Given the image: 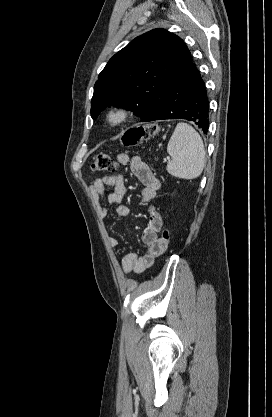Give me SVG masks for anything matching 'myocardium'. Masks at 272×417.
Listing matches in <instances>:
<instances>
[{
    "mask_svg": "<svg viewBox=\"0 0 272 417\" xmlns=\"http://www.w3.org/2000/svg\"><path fill=\"white\" fill-rule=\"evenodd\" d=\"M130 116V111L125 106L111 107L105 114V123L109 127H119L124 124Z\"/></svg>",
    "mask_w": 272,
    "mask_h": 417,
    "instance_id": "obj_1",
    "label": "myocardium"
}]
</instances>
